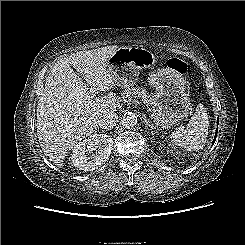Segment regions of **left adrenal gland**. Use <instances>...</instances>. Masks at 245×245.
I'll return each mask as SVG.
<instances>
[{"label":"left adrenal gland","instance_id":"1","mask_svg":"<svg viewBox=\"0 0 245 245\" xmlns=\"http://www.w3.org/2000/svg\"><path fill=\"white\" fill-rule=\"evenodd\" d=\"M143 120L146 123V129H148L149 127H151L152 129L154 128V126L151 124V122L149 121V119L146 117V115H143Z\"/></svg>","mask_w":245,"mask_h":245}]
</instances>
